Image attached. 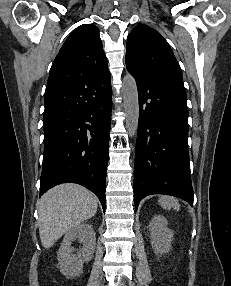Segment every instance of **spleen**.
<instances>
[{
    "mask_svg": "<svg viewBox=\"0 0 231 286\" xmlns=\"http://www.w3.org/2000/svg\"><path fill=\"white\" fill-rule=\"evenodd\" d=\"M158 202H159L160 206L163 207L164 209L173 208L177 211L180 210V204L175 197L162 195L159 197Z\"/></svg>",
    "mask_w": 231,
    "mask_h": 286,
    "instance_id": "spleen-1",
    "label": "spleen"
}]
</instances>
